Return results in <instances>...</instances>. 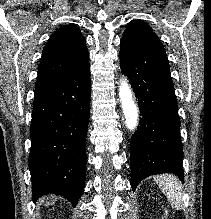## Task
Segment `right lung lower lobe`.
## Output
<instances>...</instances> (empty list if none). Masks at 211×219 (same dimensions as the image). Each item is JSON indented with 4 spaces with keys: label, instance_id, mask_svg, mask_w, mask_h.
Instances as JSON below:
<instances>
[{
    "label": "right lung lower lobe",
    "instance_id": "right-lung-lower-lobe-1",
    "mask_svg": "<svg viewBox=\"0 0 211 219\" xmlns=\"http://www.w3.org/2000/svg\"><path fill=\"white\" fill-rule=\"evenodd\" d=\"M89 111V61L35 91L29 154L33 200L54 193L78 203L85 186Z\"/></svg>",
    "mask_w": 211,
    "mask_h": 219
}]
</instances>
